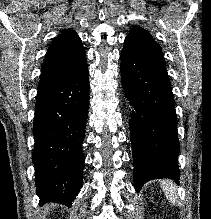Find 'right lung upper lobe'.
Listing matches in <instances>:
<instances>
[{
	"mask_svg": "<svg viewBox=\"0 0 211 219\" xmlns=\"http://www.w3.org/2000/svg\"><path fill=\"white\" fill-rule=\"evenodd\" d=\"M85 59V50L77 33L72 29L63 31L49 46L38 88L56 80Z\"/></svg>",
	"mask_w": 211,
	"mask_h": 219,
	"instance_id": "cb5924a9",
	"label": "right lung upper lobe"
}]
</instances>
